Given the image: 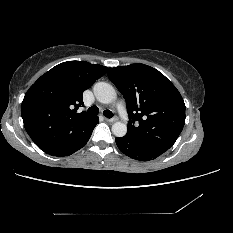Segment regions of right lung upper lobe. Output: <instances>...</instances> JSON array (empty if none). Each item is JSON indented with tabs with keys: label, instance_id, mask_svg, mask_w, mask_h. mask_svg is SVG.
Returning <instances> with one entry per match:
<instances>
[{
	"label": "right lung upper lobe",
	"instance_id": "1",
	"mask_svg": "<svg viewBox=\"0 0 233 233\" xmlns=\"http://www.w3.org/2000/svg\"><path fill=\"white\" fill-rule=\"evenodd\" d=\"M108 67L85 61L63 62L42 75L27 91L21 105L24 127L33 142L54 155L72 146L95 116L76 113L82 93Z\"/></svg>",
	"mask_w": 233,
	"mask_h": 233
}]
</instances>
